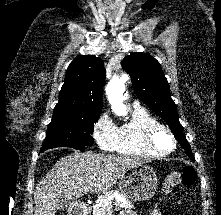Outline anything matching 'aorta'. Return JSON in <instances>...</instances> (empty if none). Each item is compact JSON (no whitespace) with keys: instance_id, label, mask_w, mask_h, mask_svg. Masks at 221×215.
Masks as SVG:
<instances>
[{"instance_id":"obj_1","label":"aorta","mask_w":221,"mask_h":215,"mask_svg":"<svg viewBox=\"0 0 221 215\" xmlns=\"http://www.w3.org/2000/svg\"><path fill=\"white\" fill-rule=\"evenodd\" d=\"M124 91V81L117 77H114L106 87L108 101L111 104L112 111L117 116H125L128 113V110L123 103Z\"/></svg>"}]
</instances>
